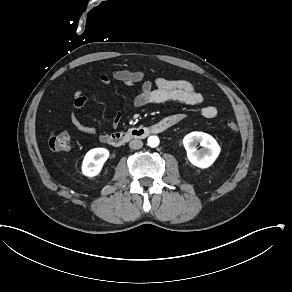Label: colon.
<instances>
[{
	"label": "colon",
	"mask_w": 292,
	"mask_h": 292,
	"mask_svg": "<svg viewBox=\"0 0 292 292\" xmlns=\"http://www.w3.org/2000/svg\"><path fill=\"white\" fill-rule=\"evenodd\" d=\"M226 127L232 131H237V125L231 121H226ZM71 147V135L66 131L53 132L49 137V148L54 153H66Z\"/></svg>",
	"instance_id": "1"
}]
</instances>
